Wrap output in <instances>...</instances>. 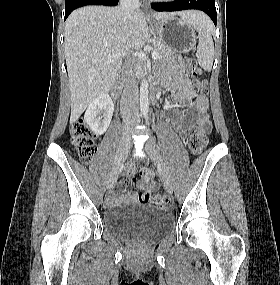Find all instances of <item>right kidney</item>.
<instances>
[{"label": "right kidney", "instance_id": "right-kidney-1", "mask_svg": "<svg viewBox=\"0 0 280 285\" xmlns=\"http://www.w3.org/2000/svg\"><path fill=\"white\" fill-rule=\"evenodd\" d=\"M114 111V104L108 94H101L89 105L84 115V121L92 132L102 135L108 129Z\"/></svg>", "mask_w": 280, "mask_h": 285}]
</instances>
